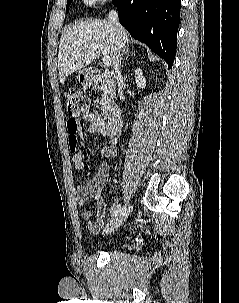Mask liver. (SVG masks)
<instances>
[{"label":"liver","instance_id":"obj_1","mask_svg":"<svg viewBox=\"0 0 239 303\" xmlns=\"http://www.w3.org/2000/svg\"><path fill=\"white\" fill-rule=\"evenodd\" d=\"M129 42L127 31L120 32L106 20L89 19L67 27L61 36L58 52V71L61 83L68 75L83 70L100 56L101 50L93 46L104 45L114 64L116 52Z\"/></svg>","mask_w":239,"mask_h":303}]
</instances>
